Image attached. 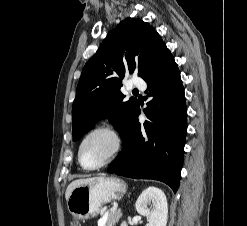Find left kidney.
<instances>
[{
    "mask_svg": "<svg viewBox=\"0 0 247 226\" xmlns=\"http://www.w3.org/2000/svg\"><path fill=\"white\" fill-rule=\"evenodd\" d=\"M135 207L139 214L146 216L148 226H166L168 204L166 195L161 189L157 187L145 189L138 197Z\"/></svg>",
    "mask_w": 247,
    "mask_h": 226,
    "instance_id": "left-kidney-1",
    "label": "left kidney"
}]
</instances>
